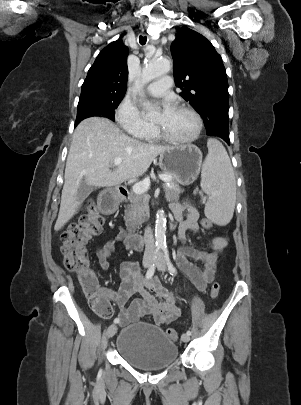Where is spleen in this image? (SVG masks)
<instances>
[{"mask_svg":"<svg viewBox=\"0 0 301 405\" xmlns=\"http://www.w3.org/2000/svg\"><path fill=\"white\" fill-rule=\"evenodd\" d=\"M208 155L202 166L201 187L209 195L206 216L218 225L228 224L236 203L234 170L226 149L216 139L207 141Z\"/></svg>","mask_w":301,"mask_h":405,"instance_id":"3e777b00","label":"spleen"}]
</instances>
